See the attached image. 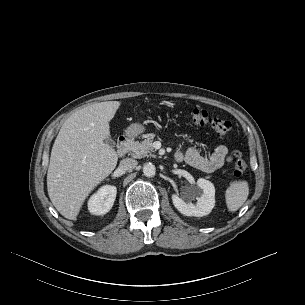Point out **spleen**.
Here are the masks:
<instances>
[{"label": "spleen", "instance_id": "spleen-1", "mask_svg": "<svg viewBox=\"0 0 305 305\" xmlns=\"http://www.w3.org/2000/svg\"><path fill=\"white\" fill-rule=\"evenodd\" d=\"M249 186L247 181H236L226 190V205L230 212L237 211L247 200Z\"/></svg>", "mask_w": 305, "mask_h": 305}]
</instances>
